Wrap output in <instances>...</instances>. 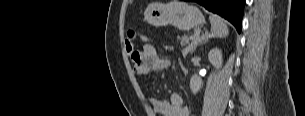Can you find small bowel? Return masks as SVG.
<instances>
[{
	"label": "small bowel",
	"mask_w": 305,
	"mask_h": 116,
	"mask_svg": "<svg viewBox=\"0 0 305 116\" xmlns=\"http://www.w3.org/2000/svg\"><path fill=\"white\" fill-rule=\"evenodd\" d=\"M133 72L136 76L142 77L151 71L160 72L171 66V62L162 59L154 45L147 43L133 59ZM150 109L154 114L162 116H191L188 106L185 104L183 96L173 93L169 100L147 97Z\"/></svg>",
	"instance_id": "obj_1"
}]
</instances>
